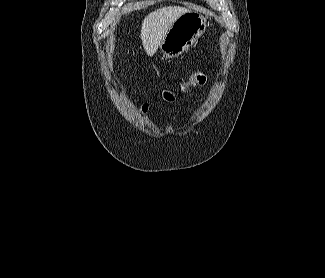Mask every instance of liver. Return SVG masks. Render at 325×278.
Masks as SVG:
<instances>
[{
  "label": "liver",
  "mask_w": 325,
  "mask_h": 278,
  "mask_svg": "<svg viewBox=\"0 0 325 278\" xmlns=\"http://www.w3.org/2000/svg\"><path fill=\"white\" fill-rule=\"evenodd\" d=\"M190 12L179 6H168L149 13L143 20L140 37L149 56H153L160 47L172 24L181 15Z\"/></svg>",
  "instance_id": "liver-1"
}]
</instances>
